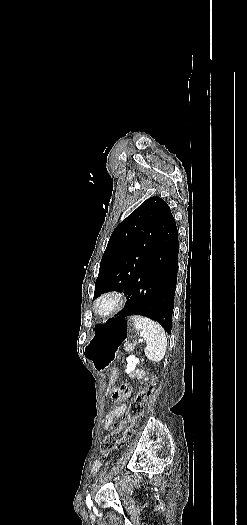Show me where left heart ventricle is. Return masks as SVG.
<instances>
[{"instance_id":"b2bd125f","label":"left heart ventricle","mask_w":247,"mask_h":525,"mask_svg":"<svg viewBox=\"0 0 247 525\" xmlns=\"http://www.w3.org/2000/svg\"><path fill=\"white\" fill-rule=\"evenodd\" d=\"M106 305V302H101L100 307H104Z\"/></svg>"}]
</instances>
